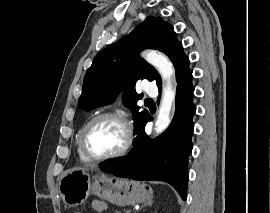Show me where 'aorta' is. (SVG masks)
I'll return each mask as SVG.
<instances>
[{"label": "aorta", "mask_w": 270, "mask_h": 213, "mask_svg": "<svg viewBox=\"0 0 270 213\" xmlns=\"http://www.w3.org/2000/svg\"><path fill=\"white\" fill-rule=\"evenodd\" d=\"M147 62L153 65L160 73L165 86L163 88L162 100L160 103L157 120L155 122V132L161 134L170 124V111L175 101L176 88L172 85L175 70L170 60L157 51H148L143 54Z\"/></svg>", "instance_id": "aorta-1"}]
</instances>
